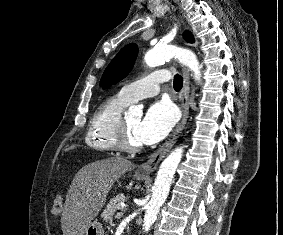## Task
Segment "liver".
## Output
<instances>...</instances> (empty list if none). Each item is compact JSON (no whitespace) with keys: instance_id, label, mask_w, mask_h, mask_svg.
I'll list each match as a JSON object with an SVG mask.
<instances>
[{"instance_id":"obj_1","label":"liver","mask_w":283,"mask_h":235,"mask_svg":"<svg viewBox=\"0 0 283 235\" xmlns=\"http://www.w3.org/2000/svg\"><path fill=\"white\" fill-rule=\"evenodd\" d=\"M134 168V163L121 157L106 158L81 168L66 196L61 217L63 235H84L115 181Z\"/></svg>"}]
</instances>
